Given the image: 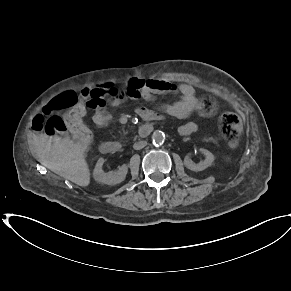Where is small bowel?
<instances>
[{"label": "small bowel", "instance_id": "1", "mask_svg": "<svg viewBox=\"0 0 291 291\" xmlns=\"http://www.w3.org/2000/svg\"><path fill=\"white\" fill-rule=\"evenodd\" d=\"M90 97L83 104L94 110L92 116L93 122L99 126H106L111 115L107 111V106H118L122 102L129 99L142 98L146 101H151L157 94L176 93L181 94V99L165 105L163 110L178 119L187 118L192 114L197 107H192L188 101L196 98L193 87L189 84L176 85L175 83L164 79H144L141 77H132L127 82L126 88L121 89L113 83H107L103 86H97L89 90ZM136 114L141 116L143 120L157 122L159 119H165L166 115L159 111L138 107ZM197 130L195 122H187L179 128L182 135H189Z\"/></svg>", "mask_w": 291, "mask_h": 291}]
</instances>
